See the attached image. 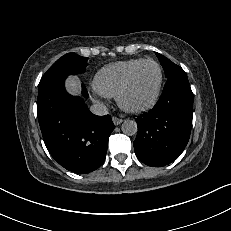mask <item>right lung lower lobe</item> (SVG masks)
<instances>
[{"label": "right lung lower lobe", "instance_id": "obj_1", "mask_svg": "<svg viewBox=\"0 0 231 231\" xmlns=\"http://www.w3.org/2000/svg\"><path fill=\"white\" fill-rule=\"evenodd\" d=\"M66 77H57L38 88L37 115L46 147L64 168L89 173L106 157L108 139L115 126L109 115L92 114L81 97L69 95ZM82 95L88 93L82 85Z\"/></svg>", "mask_w": 231, "mask_h": 231}]
</instances>
